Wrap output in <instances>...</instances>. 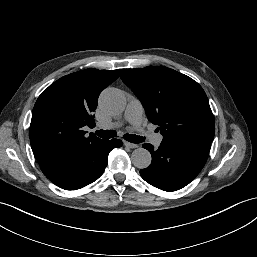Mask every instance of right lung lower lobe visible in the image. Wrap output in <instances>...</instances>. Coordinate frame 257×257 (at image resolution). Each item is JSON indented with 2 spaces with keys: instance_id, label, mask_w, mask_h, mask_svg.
<instances>
[{
  "instance_id": "right-lung-lower-lobe-1",
  "label": "right lung lower lobe",
  "mask_w": 257,
  "mask_h": 257,
  "mask_svg": "<svg viewBox=\"0 0 257 257\" xmlns=\"http://www.w3.org/2000/svg\"><path fill=\"white\" fill-rule=\"evenodd\" d=\"M119 139L102 140L79 153L67 155L58 161L42 166L45 176L55 185L66 190L80 189L95 180L107 166L109 152L121 147Z\"/></svg>"
}]
</instances>
